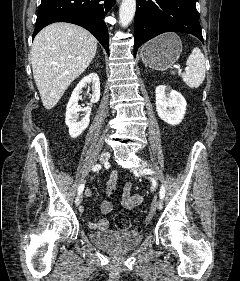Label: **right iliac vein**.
<instances>
[{"label": "right iliac vein", "instance_id": "right-iliac-vein-1", "mask_svg": "<svg viewBox=\"0 0 240 281\" xmlns=\"http://www.w3.org/2000/svg\"><path fill=\"white\" fill-rule=\"evenodd\" d=\"M109 158H110V153H109V152H104V153L101 155V157H100V161H101L102 163H105V162H107V161L109 160ZM82 199H83L82 194H79V195L76 197V199H75V204H76V206H78V205L82 202Z\"/></svg>", "mask_w": 240, "mask_h": 281}]
</instances>
